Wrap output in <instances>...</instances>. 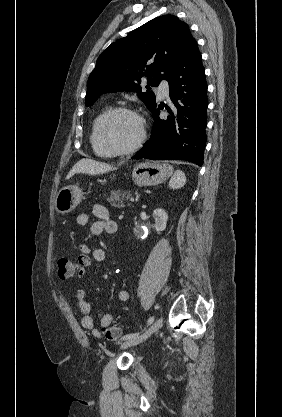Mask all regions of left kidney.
<instances>
[{
    "mask_svg": "<svg viewBox=\"0 0 282 417\" xmlns=\"http://www.w3.org/2000/svg\"><path fill=\"white\" fill-rule=\"evenodd\" d=\"M153 217L155 219V229L160 233V231H165L167 221H168V215L165 213L164 209H155L153 211Z\"/></svg>",
    "mask_w": 282,
    "mask_h": 417,
    "instance_id": "5707ae66",
    "label": "left kidney"
}]
</instances>
